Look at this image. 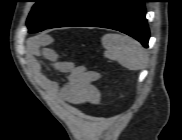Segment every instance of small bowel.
Returning a JSON list of instances; mask_svg holds the SVG:
<instances>
[{"label":"small bowel","mask_w":182,"mask_h":140,"mask_svg":"<svg viewBox=\"0 0 182 140\" xmlns=\"http://www.w3.org/2000/svg\"><path fill=\"white\" fill-rule=\"evenodd\" d=\"M43 56L57 71L68 73L65 83L61 84L57 80L49 79L36 63L35 76L44 90L71 105L99 102L100 91L94 85L100 78L99 73L88 70L84 66H76L72 62L61 61L57 52L52 49H45Z\"/></svg>","instance_id":"c3829d8e"}]
</instances>
